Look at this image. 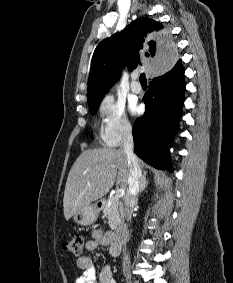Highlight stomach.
<instances>
[{
  "instance_id": "1",
  "label": "stomach",
  "mask_w": 233,
  "mask_h": 283,
  "mask_svg": "<svg viewBox=\"0 0 233 283\" xmlns=\"http://www.w3.org/2000/svg\"><path fill=\"white\" fill-rule=\"evenodd\" d=\"M99 215V210L96 205L89 204L73 215V220L79 225H90L93 224Z\"/></svg>"
}]
</instances>
